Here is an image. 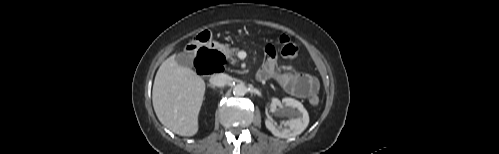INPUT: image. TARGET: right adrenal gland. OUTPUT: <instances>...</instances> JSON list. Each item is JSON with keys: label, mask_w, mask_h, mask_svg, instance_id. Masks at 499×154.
I'll use <instances>...</instances> for the list:
<instances>
[{"label": "right adrenal gland", "mask_w": 499, "mask_h": 154, "mask_svg": "<svg viewBox=\"0 0 499 154\" xmlns=\"http://www.w3.org/2000/svg\"><path fill=\"white\" fill-rule=\"evenodd\" d=\"M208 86H210V87L214 88V86H212V85H208Z\"/></svg>", "instance_id": "2a0ac1e0"}]
</instances>
